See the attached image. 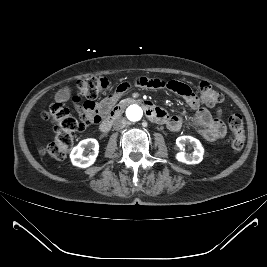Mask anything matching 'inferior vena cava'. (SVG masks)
Wrapping results in <instances>:
<instances>
[{"label": "inferior vena cava", "instance_id": "obj_1", "mask_svg": "<svg viewBox=\"0 0 267 267\" xmlns=\"http://www.w3.org/2000/svg\"><path fill=\"white\" fill-rule=\"evenodd\" d=\"M126 125H127V120L125 118H118L117 120L114 121L113 128L115 130H121L125 128Z\"/></svg>", "mask_w": 267, "mask_h": 267}]
</instances>
